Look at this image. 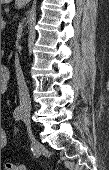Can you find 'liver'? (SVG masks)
Instances as JSON below:
<instances>
[{"label":"liver","instance_id":"6515ba94","mask_svg":"<svg viewBox=\"0 0 109 170\" xmlns=\"http://www.w3.org/2000/svg\"><path fill=\"white\" fill-rule=\"evenodd\" d=\"M13 0H1V3H10ZM29 0H15V5L18 9L22 8Z\"/></svg>","mask_w":109,"mask_h":170}]
</instances>
